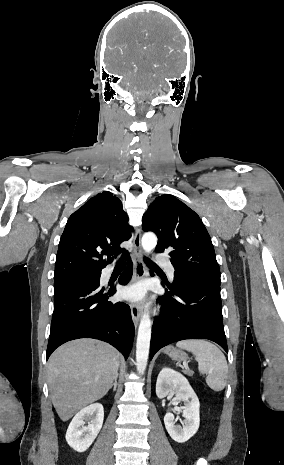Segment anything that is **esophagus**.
<instances>
[{
	"instance_id": "esophagus-1",
	"label": "esophagus",
	"mask_w": 284,
	"mask_h": 465,
	"mask_svg": "<svg viewBox=\"0 0 284 465\" xmlns=\"http://www.w3.org/2000/svg\"><path fill=\"white\" fill-rule=\"evenodd\" d=\"M134 245V253H133V282L140 280L141 278L145 277L146 274V267L143 262V251L141 248V230L138 228L135 232V236L133 239ZM132 320L134 322L135 328L138 326L139 318L141 316L143 306L141 303H131L130 304Z\"/></svg>"
}]
</instances>
